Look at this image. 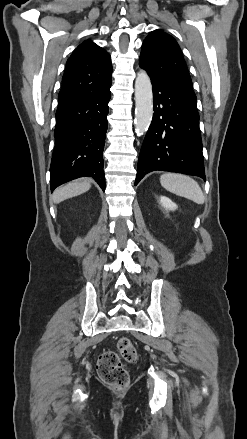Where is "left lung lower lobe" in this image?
<instances>
[{"mask_svg":"<svg viewBox=\"0 0 247 439\" xmlns=\"http://www.w3.org/2000/svg\"><path fill=\"white\" fill-rule=\"evenodd\" d=\"M150 78L155 112L140 151L135 185L155 170L196 175L205 180L197 100Z\"/></svg>","mask_w":247,"mask_h":439,"instance_id":"1","label":"left lung lower lobe"}]
</instances>
